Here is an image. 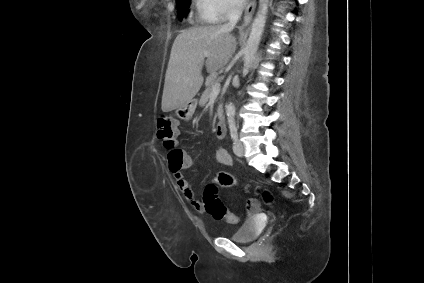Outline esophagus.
<instances>
[{"mask_svg":"<svg viewBox=\"0 0 424 283\" xmlns=\"http://www.w3.org/2000/svg\"><path fill=\"white\" fill-rule=\"evenodd\" d=\"M255 8H256V0H250L245 9L242 28H246L250 24Z\"/></svg>","mask_w":424,"mask_h":283,"instance_id":"esophagus-1","label":"esophagus"}]
</instances>
